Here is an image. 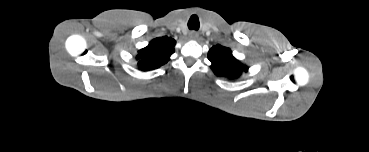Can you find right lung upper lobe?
<instances>
[{
	"mask_svg": "<svg viewBox=\"0 0 369 152\" xmlns=\"http://www.w3.org/2000/svg\"><path fill=\"white\" fill-rule=\"evenodd\" d=\"M175 44V40L169 37L153 39L147 47L138 51L136 59L139 69L149 71L165 64L174 53Z\"/></svg>",
	"mask_w": 369,
	"mask_h": 152,
	"instance_id": "1",
	"label": "right lung upper lobe"
}]
</instances>
